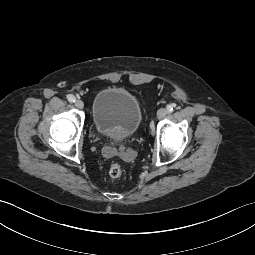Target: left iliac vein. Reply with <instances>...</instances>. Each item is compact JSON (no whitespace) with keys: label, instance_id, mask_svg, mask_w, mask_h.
Returning <instances> with one entry per match:
<instances>
[{"label":"left iliac vein","instance_id":"left-iliac-vein-1","mask_svg":"<svg viewBox=\"0 0 255 255\" xmlns=\"http://www.w3.org/2000/svg\"><path fill=\"white\" fill-rule=\"evenodd\" d=\"M167 110L165 108H160L158 111H157V117L158 119H162L164 118L166 115H167Z\"/></svg>","mask_w":255,"mask_h":255}]
</instances>
